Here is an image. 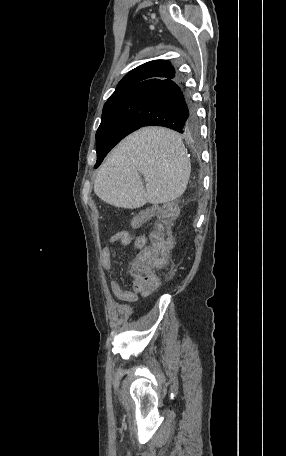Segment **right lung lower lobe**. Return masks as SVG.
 I'll return each instance as SVG.
<instances>
[{"instance_id":"1","label":"right lung lower lobe","mask_w":286,"mask_h":456,"mask_svg":"<svg viewBox=\"0 0 286 456\" xmlns=\"http://www.w3.org/2000/svg\"><path fill=\"white\" fill-rule=\"evenodd\" d=\"M124 99L129 106L133 131L158 125L181 134H192L197 128L191 98L178 82H155L129 93Z\"/></svg>"}]
</instances>
